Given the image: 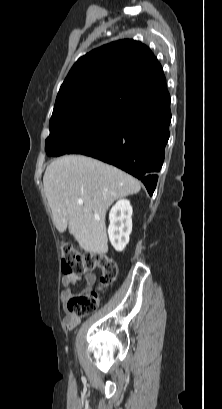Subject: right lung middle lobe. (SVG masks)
I'll use <instances>...</instances> for the list:
<instances>
[{
	"mask_svg": "<svg viewBox=\"0 0 222 409\" xmlns=\"http://www.w3.org/2000/svg\"><path fill=\"white\" fill-rule=\"evenodd\" d=\"M119 105L101 102L53 112L49 122L50 135L45 141L47 155H87L95 151L110 130Z\"/></svg>",
	"mask_w": 222,
	"mask_h": 409,
	"instance_id": "dd1d6c3e",
	"label": "right lung middle lobe"
}]
</instances>
